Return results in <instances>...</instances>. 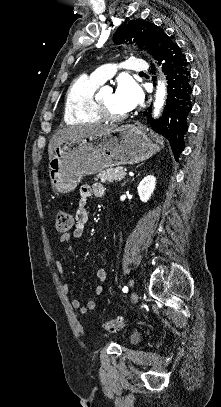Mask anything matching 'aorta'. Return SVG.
Listing matches in <instances>:
<instances>
[{
    "label": "aorta",
    "mask_w": 221,
    "mask_h": 407,
    "mask_svg": "<svg viewBox=\"0 0 221 407\" xmlns=\"http://www.w3.org/2000/svg\"><path fill=\"white\" fill-rule=\"evenodd\" d=\"M104 91V88L101 89V92ZM100 92V93H101ZM166 97V86L163 81H158V86L155 95V102H154V117H158L160 110L162 109Z\"/></svg>",
    "instance_id": "1"
}]
</instances>
